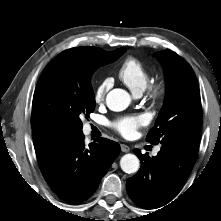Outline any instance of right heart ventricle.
<instances>
[{
  "label": "right heart ventricle",
  "instance_id": "1",
  "mask_svg": "<svg viewBox=\"0 0 221 221\" xmlns=\"http://www.w3.org/2000/svg\"><path fill=\"white\" fill-rule=\"evenodd\" d=\"M120 80L133 92L142 93L150 82V71L138 58L129 57L118 70Z\"/></svg>",
  "mask_w": 221,
  "mask_h": 221
}]
</instances>
